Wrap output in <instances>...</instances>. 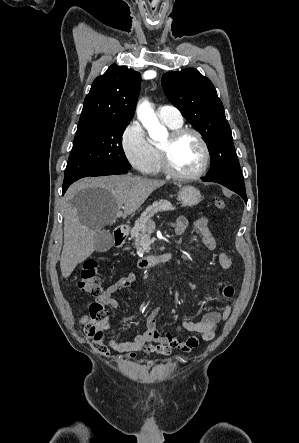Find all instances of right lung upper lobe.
<instances>
[{
  "label": "right lung upper lobe",
  "mask_w": 299,
  "mask_h": 443,
  "mask_svg": "<svg viewBox=\"0 0 299 443\" xmlns=\"http://www.w3.org/2000/svg\"><path fill=\"white\" fill-rule=\"evenodd\" d=\"M140 73L112 64L97 77L84 100L77 131L132 119L141 85Z\"/></svg>",
  "instance_id": "obj_1"
}]
</instances>
